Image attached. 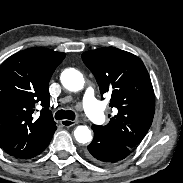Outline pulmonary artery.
Segmentation results:
<instances>
[{
  "instance_id": "1",
  "label": "pulmonary artery",
  "mask_w": 183,
  "mask_h": 183,
  "mask_svg": "<svg viewBox=\"0 0 183 183\" xmlns=\"http://www.w3.org/2000/svg\"><path fill=\"white\" fill-rule=\"evenodd\" d=\"M82 106L85 113L92 122L96 124H101L104 121V113L101 104L95 97L93 88L88 87L86 89L83 97Z\"/></svg>"
}]
</instances>
